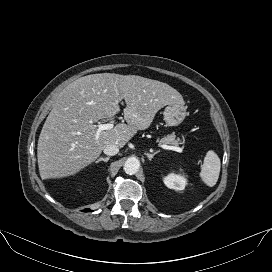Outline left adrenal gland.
I'll use <instances>...</instances> for the list:
<instances>
[{"mask_svg": "<svg viewBox=\"0 0 272 272\" xmlns=\"http://www.w3.org/2000/svg\"><path fill=\"white\" fill-rule=\"evenodd\" d=\"M159 151L153 152V153H145V155L148 157V159L151 161L152 158L158 153Z\"/></svg>", "mask_w": 272, "mask_h": 272, "instance_id": "1", "label": "left adrenal gland"}]
</instances>
